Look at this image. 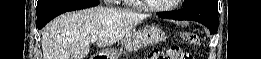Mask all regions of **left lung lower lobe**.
Wrapping results in <instances>:
<instances>
[{
  "mask_svg": "<svg viewBox=\"0 0 261 59\" xmlns=\"http://www.w3.org/2000/svg\"><path fill=\"white\" fill-rule=\"evenodd\" d=\"M160 17L175 20H193L205 25L210 34H215L218 30V9L210 7H189L170 13H160Z\"/></svg>",
  "mask_w": 261,
  "mask_h": 59,
  "instance_id": "left-lung-lower-lobe-1",
  "label": "left lung lower lobe"
}]
</instances>
